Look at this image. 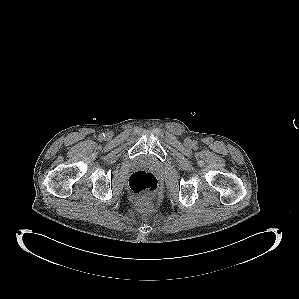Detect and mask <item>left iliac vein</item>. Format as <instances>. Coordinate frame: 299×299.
I'll return each mask as SVG.
<instances>
[{
  "label": "left iliac vein",
  "instance_id": "4c4485c4",
  "mask_svg": "<svg viewBox=\"0 0 299 299\" xmlns=\"http://www.w3.org/2000/svg\"><path fill=\"white\" fill-rule=\"evenodd\" d=\"M185 144H186L187 146H190V145H191V141H190L189 139H186V140H185Z\"/></svg>",
  "mask_w": 299,
  "mask_h": 299
}]
</instances>
